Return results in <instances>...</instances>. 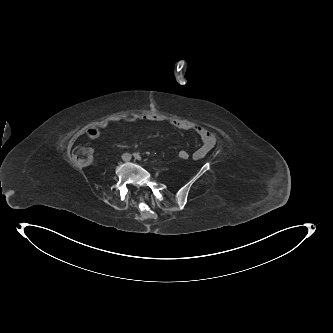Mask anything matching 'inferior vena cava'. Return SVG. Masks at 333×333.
I'll use <instances>...</instances> for the list:
<instances>
[{
	"instance_id": "inferior-vena-cava-1",
	"label": "inferior vena cava",
	"mask_w": 333,
	"mask_h": 333,
	"mask_svg": "<svg viewBox=\"0 0 333 333\" xmlns=\"http://www.w3.org/2000/svg\"><path fill=\"white\" fill-rule=\"evenodd\" d=\"M122 157L124 161L128 162L131 160L132 155L130 153H124Z\"/></svg>"
}]
</instances>
